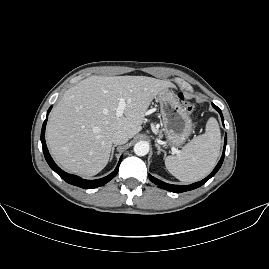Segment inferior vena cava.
Here are the masks:
<instances>
[{
	"label": "inferior vena cava",
	"mask_w": 269,
	"mask_h": 269,
	"mask_svg": "<svg viewBox=\"0 0 269 269\" xmlns=\"http://www.w3.org/2000/svg\"><path fill=\"white\" fill-rule=\"evenodd\" d=\"M129 140V136L125 131L119 130L112 135V142L117 145L126 144Z\"/></svg>",
	"instance_id": "602c4592"
}]
</instances>
